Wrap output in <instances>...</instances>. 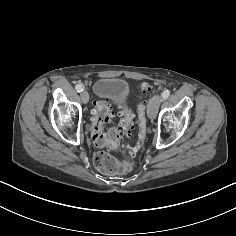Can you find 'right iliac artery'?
Returning <instances> with one entry per match:
<instances>
[{
	"label": "right iliac artery",
	"instance_id": "right-iliac-artery-1",
	"mask_svg": "<svg viewBox=\"0 0 236 236\" xmlns=\"http://www.w3.org/2000/svg\"><path fill=\"white\" fill-rule=\"evenodd\" d=\"M75 88H76L77 92H82L84 90L83 85H81V84H77Z\"/></svg>",
	"mask_w": 236,
	"mask_h": 236
}]
</instances>
